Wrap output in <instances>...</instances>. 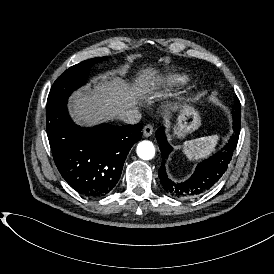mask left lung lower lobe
<instances>
[{"mask_svg": "<svg viewBox=\"0 0 274 274\" xmlns=\"http://www.w3.org/2000/svg\"><path fill=\"white\" fill-rule=\"evenodd\" d=\"M232 113L234 119V134L230 137L226 146L218 153L201 162L197 166L195 173L187 181L183 183L172 182L168 178L164 162H162L158 170V175L160 177V183L167 193L175 197H197L207 192L223 176L232 159L238 142L241 126V106L239 107V110H233ZM156 139L160 147L163 161H165L172 151V147L167 142L164 127H160L156 131Z\"/></svg>", "mask_w": 274, "mask_h": 274, "instance_id": "1", "label": "left lung lower lobe"}]
</instances>
